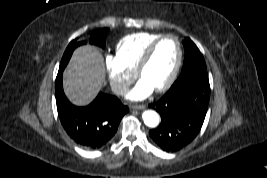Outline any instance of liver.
Listing matches in <instances>:
<instances>
[{
	"instance_id": "1",
	"label": "liver",
	"mask_w": 267,
	"mask_h": 178,
	"mask_svg": "<svg viewBox=\"0 0 267 178\" xmlns=\"http://www.w3.org/2000/svg\"><path fill=\"white\" fill-rule=\"evenodd\" d=\"M105 82L104 59L100 50L86 45L77 48L64 72V90L76 105H86Z\"/></svg>"
}]
</instances>
